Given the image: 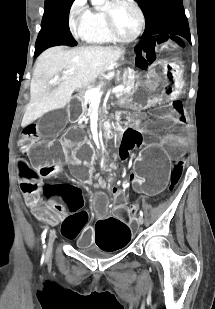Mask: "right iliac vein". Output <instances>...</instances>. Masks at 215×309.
Masks as SVG:
<instances>
[{
  "label": "right iliac vein",
  "mask_w": 215,
  "mask_h": 309,
  "mask_svg": "<svg viewBox=\"0 0 215 309\" xmlns=\"http://www.w3.org/2000/svg\"><path fill=\"white\" fill-rule=\"evenodd\" d=\"M56 238V231L54 229H52L50 231V235H49V243H48V247H47V252L51 253L52 249H53V242Z\"/></svg>",
  "instance_id": "1"
}]
</instances>
